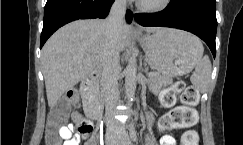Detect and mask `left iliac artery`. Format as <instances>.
I'll return each instance as SVG.
<instances>
[{
	"label": "left iliac artery",
	"mask_w": 243,
	"mask_h": 145,
	"mask_svg": "<svg viewBox=\"0 0 243 145\" xmlns=\"http://www.w3.org/2000/svg\"><path fill=\"white\" fill-rule=\"evenodd\" d=\"M130 137L132 140L136 141L137 136H136V130L133 124L130 125Z\"/></svg>",
	"instance_id": "left-iliac-artery-1"
}]
</instances>
